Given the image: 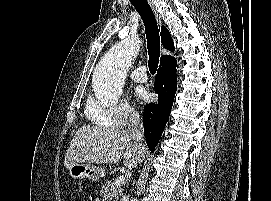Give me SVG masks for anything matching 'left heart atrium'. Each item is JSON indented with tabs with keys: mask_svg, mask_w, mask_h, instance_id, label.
<instances>
[{
	"mask_svg": "<svg viewBox=\"0 0 271 201\" xmlns=\"http://www.w3.org/2000/svg\"><path fill=\"white\" fill-rule=\"evenodd\" d=\"M136 95L140 100H142L144 102L149 101L151 98V95L143 88L137 89Z\"/></svg>",
	"mask_w": 271,
	"mask_h": 201,
	"instance_id": "39dd6f15",
	"label": "left heart atrium"
}]
</instances>
